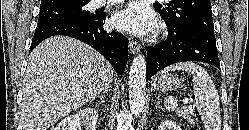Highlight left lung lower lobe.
<instances>
[{
    "label": "left lung lower lobe",
    "instance_id": "1",
    "mask_svg": "<svg viewBox=\"0 0 249 130\" xmlns=\"http://www.w3.org/2000/svg\"><path fill=\"white\" fill-rule=\"evenodd\" d=\"M166 24L167 39L147 49L146 81L161 69L184 61L205 62L220 69L214 32Z\"/></svg>",
    "mask_w": 249,
    "mask_h": 130
}]
</instances>
